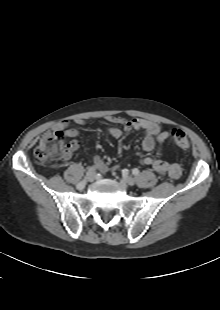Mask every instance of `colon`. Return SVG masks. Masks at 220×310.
<instances>
[{
	"instance_id": "colon-1",
	"label": "colon",
	"mask_w": 220,
	"mask_h": 310,
	"mask_svg": "<svg viewBox=\"0 0 220 310\" xmlns=\"http://www.w3.org/2000/svg\"><path fill=\"white\" fill-rule=\"evenodd\" d=\"M175 144L182 150L187 151L190 147L189 139L185 132L175 128L170 131ZM68 154V146L61 130L51 129L40 140L34 151L35 160L40 164L54 162Z\"/></svg>"
}]
</instances>
